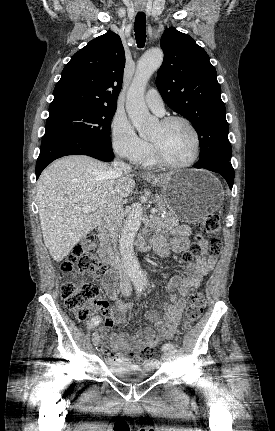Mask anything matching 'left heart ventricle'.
I'll list each match as a JSON object with an SVG mask.
<instances>
[{"instance_id": "b2bd125f", "label": "left heart ventricle", "mask_w": 275, "mask_h": 431, "mask_svg": "<svg viewBox=\"0 0 275 431\" xmlns=\"http://www.w3.org/2000/svg\"><path fill=\"white\" fill-rule=\"evenodd\" d=\"M149 140L161 155L172 163H184L194 154L195 141L188 127L180 122L163 127L160 123Z\"/></svg>"}]
</instances>
